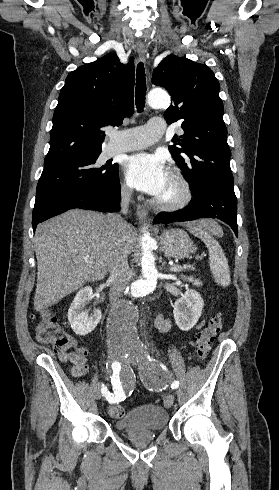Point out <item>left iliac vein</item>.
Returning <instances> with one entry per match:
<instances>
[{
    "label": "left iliac vein",
    "instance_id": "left-iliac-vein-1",
    "mask_svg": "<svg viewBox=\"0 0 279 490\" xmlns=\"http://www.w3.org/2000/svg\"><path fill=\"white\" fill-rule=\"evenodd\" d=\"M143 358L144 357L141 354H137V355L134 356V359L137 360V361H141V360H143ZM173 403H174V395L171 394V393L170 394H167L166 397H165V406L167 408H171L172 405H173Z\"/></svg>",
    "mask_w": 279,
    "mask_h": 490
}]
</instances>
